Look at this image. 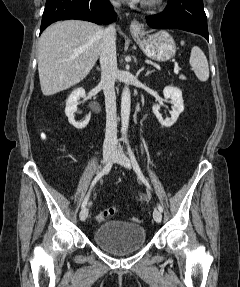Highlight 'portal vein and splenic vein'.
<instances>
[{"label": "portal vein and splenic vein", "instance_id": "obj_1", "mask_svg": "<svg viewBox=\"0 0 240 287\" xmlns=\"http://www.w3.org/2000/svg\"><path fill=\"white\" fill-rule=\"evenodd\" d=\"M180 68L178 65L175 66V70L178 71Z\"/></svg>", "mask_w": 240, "mask_h": 287}]
</instances>
